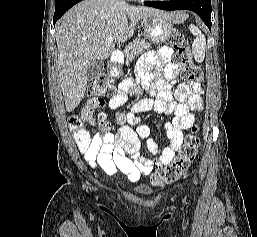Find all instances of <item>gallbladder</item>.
<instances>
[{
    "label": "gallbladder",
    "instance_id": "obj_1",
    "mask_svg": "<svg viewBox=\"0 0 257 237\" xmlns=\"http://www.w3.org/2000/svg\"><path fill=\"white\" fill-rule=\"evenodd\" d=\"M103 66L104 65L102 61L96 60L87 71V80L93 81L94 79H96L99 74L102 73Z\"/></svg>",
    "mask_w": 257,
    "mask_h": 237
}]
</instances>
